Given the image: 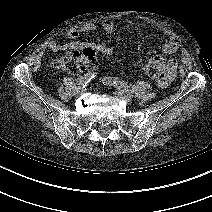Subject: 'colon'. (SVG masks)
Here are the masks:
<instances>
[{
	"mask_svg": "<svg viewBox=\"0 0 212 212\" xmlns=\"http://www.w3.org/2000/svg\"><path fill=\"white\" fill-rule=\"evenodd\" d=\"M95 62V52L93 49L86 48L82 51H73L59 57L55 61V67L72 75H78L89 68ZM145 75L162 81L168 76V70L165 69L164 61L149 59L142 65Z\"/></svg>",
	"mask_w": 212,
	"mask_h": 212,
	"instance_id": "colon-1",
	"label": "colon"
}]
</instances>
